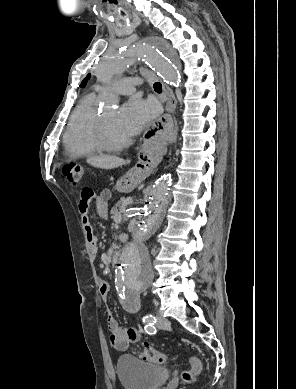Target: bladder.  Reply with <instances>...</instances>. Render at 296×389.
<instances>
[{"mask_svg":"<svg viewBox=\"0 0 296 389\" xmlns=\"http://www.w3.org/2000/svg\"><path fill=\"white\" fill-rule=\"evenodd\" d=\"M117 375L124 389H159L169 378L167 368L125 354L117 360Z\"/></svg>","mask_w":296,"mask_h":389,"instance_id":"1","label":"bladder"}]
</instances>
